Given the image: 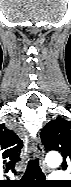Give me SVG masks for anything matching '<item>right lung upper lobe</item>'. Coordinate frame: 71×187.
<instances>
[{
    "mask_svg": "<svg viewBox=\"0 0 71 187\" xmlns=\"http://www.w3.org/2000/svg\"><path fill=\"white\" fill-rule=\"evenodd\" d=\"M23 147L22 140L18 135L7 129L4 124L0 125V159L1 164L10 172H15V164L20 160Z\"/></svg>",
    "mask_w": 71,
    "mask_h": 187,
    "instance_id": "right-lung-upper-lobe-1",
    "label": "right lung upper lobe"
}]
</instances>
